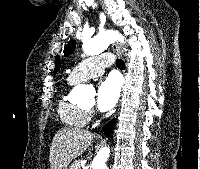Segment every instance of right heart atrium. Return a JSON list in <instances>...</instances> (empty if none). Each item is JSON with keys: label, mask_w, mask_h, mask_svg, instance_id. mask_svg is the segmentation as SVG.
Masks as SVG:
<instances>
[{"label": "right heart atrium", "mask_w": 200, "mask_h": 169, "mask_svg": "<svg viewBox=\"0 0 200 169\" xmlns=\"http://www.w3.org/2000/svg\"><path fill=\"white\" fill-rule=\"evenodd\" d=\"M93 115V112L92 111H90V117Z\"/></svg>", "instance_id": "obj_1"}]
</instances>
